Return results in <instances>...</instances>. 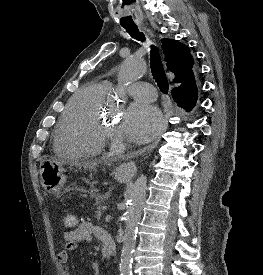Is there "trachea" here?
<instances>
[{"mask_svg":"<svg viewBox=\"0 0 263 275\" xmlns=\"http://www.w3.org/2000/svg\"><path fill=\"white\" fill-rule=\"evenodd\" d=\"M126 31L130 34V36L136 40L145 41L144 34L139 32L137 27H124ZM150 64H151V71L152 75L160 88L161 92L164 94L168 93L169 84L163 69L161 57L157 47L152 46L150 51Z\"/></svg>","mask_w":263,"mask_h":275,"instance_id":"obj_1","label":"trachea"}]
</instances>
